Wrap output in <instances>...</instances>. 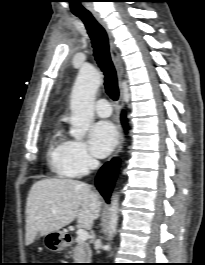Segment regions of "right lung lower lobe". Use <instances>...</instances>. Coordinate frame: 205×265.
I'll return each instance as SVG.
<instances>
[{
    "label": "right lung lower lobe",
    "mask_w": 205,
    "mask_h": 265,
    "mask_svg": "<svg viewBox=\"0 0 205 265\" xmlns=\"http://www.w3.org/2000/svg\"><path fill=\"white\" fill-rule=\"evenodd\" d=\"M122 123L126 127V120L124 114H122ZM119 163L116 159L106 163L98 172L95 184L101 195L104 197L107 203H109V198L111 191L116 179Z\"/></svg>",
    "instance_id": "1"
}]
</instances>
